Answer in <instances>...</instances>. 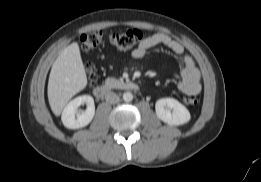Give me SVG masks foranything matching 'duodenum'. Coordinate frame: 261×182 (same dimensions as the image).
Masks as SVG:
<instances>
[{
  "label": "duodenum",
  "mask_w": 261,
  "mask_h": 182,
  "mask_svg": "<svg viewBox=\"0 0 261 182\" xmlns=\"http://www.w3.org/2000/svg\"><path fill=\"white\" fill-rule=\"evenodd\" d=\"M112 88L124 89V90H138V85L133 81H123L117 83H108L95 87L93 93L95 97L103 98Z\"/></svg>",
  "instance_id": "duodenum-1"
}]
</instances>
